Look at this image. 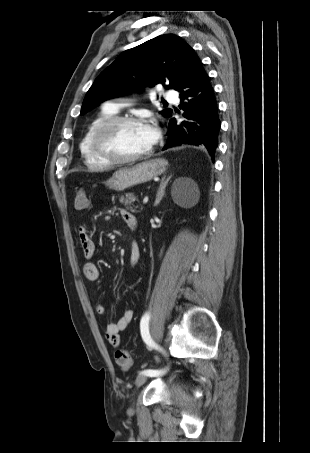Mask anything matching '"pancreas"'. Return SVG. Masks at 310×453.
I'll use <instances>...</instances> for the list:
<instances>
[{
	"instance_id": "cf45deb5",
	"label": "pancreas",
	"mask_w": 310,
	"mask_h": 453,
	"mask_svg": "<svg viewBox=\"0 0 310 453\" xmlns=\"http://www.w3.org/2000/svg\"><path fill=\"white\" fill-rule=\"evenodd\" d=\"M137 197L134 193H126L125 197L120 198V202L126 206L127 209L135 210L138 206H134L133 203L137 201Z\"/></svg>"
}]
</instances>
